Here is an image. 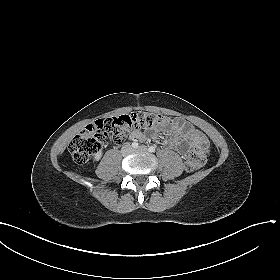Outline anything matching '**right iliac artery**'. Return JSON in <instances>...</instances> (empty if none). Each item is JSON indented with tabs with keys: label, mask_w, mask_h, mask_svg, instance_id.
<instances>
[{
	"label": "right iliac artery",
	"mask_w": 280,
	"mask_h": 280,
	"mask_svg": "<svg viewBox=\"0 0 280 280\" xmlns=\"http://www.w3.org/2000/svg\"><path fill=\"white\" fill-rule=\"evenodd\" d=\"M132 147L136 149V148H138V147H139V145H138V143H137V142H132Z\"/></svg>",
	"instance_id": "1"
}]
</instances>
